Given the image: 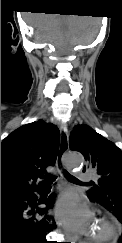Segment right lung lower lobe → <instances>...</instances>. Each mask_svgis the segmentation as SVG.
Segmentation results:
<instances>
[{"label":"right lung lower lobe","mask_w":122,"mask_h":243,"mask_svg":"<svg viewBox=\"0 0 122 243\" xmlns=\"http://www.w3.org/2000/svg\"><path fill=\"white\" fill-rule=\"evenodd\" d=\"M42 186L25 190L1 199V243H48L46 234L52 230L48 209L53 207L55 194H51L45 208H36Z\"/></svg>","instance_id":"1"}]
</instances>
